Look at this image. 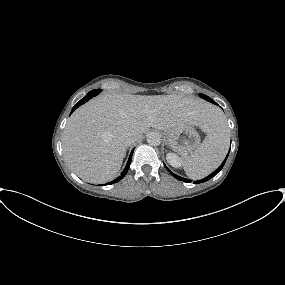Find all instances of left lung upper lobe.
<instances>
[{
    "instance_id": "5c2ea615",
    "label": "left lung upper lobe",
    "mask_w": 285,
    "mask_h": 285,
    "mask_svg": "<svg viewBox=\"0 0 285 285\" xmlns=\"http://www.w3.org/2000/svg\"><path fill=\"white\" fill-rule=\"evenodd\" d=\"M200 96H201L202 98H204L205 100H207V101L212 102V103L215 104V102H214L210 97H208V96H206V95H204V94H200Z\"/></svg>"
}]
</instances>
